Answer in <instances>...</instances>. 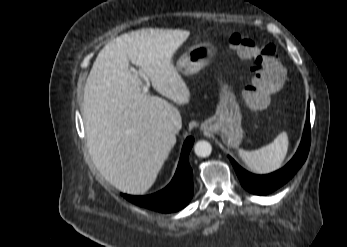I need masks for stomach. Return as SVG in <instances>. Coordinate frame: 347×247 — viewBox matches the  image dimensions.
<instances>
[{
    "instance_id": "stomach-1",
    "label": "stomach",
    "mask_w": 347,
    "mask_h": 247,
    "mask_svg": "<svg viewBox=\"0 0 347 247\" xmlns=\"http://www.w3.org/2000/svg\"><path fill=\"white\" fill-rule=\"evenodd\" d=\"M217 48L205 42L192 46L176 63L177 72L192 75L199 72L215 57ZM242 115L232 89L223 84L215 114L202 123V130L217 133L224 143L238 147L244 132L241 127Z\"/></svg>"
}]
</instances>
